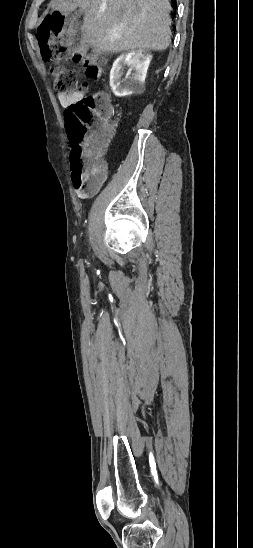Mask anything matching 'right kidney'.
Returning a JSON list of instances; mask_svg holds the SVG:
<instances>
[{
    "instance_id": "ca27d5eb",
    "label": "right kidney",
    "mask_w": 253,
    "mask_h": 548,
    "mask_svg": "<svg viewBox=\"0 0 253 548\" xmlns=\"http://www.w3.org/2000/svg\"><path fill=\"white\" fill-rule=\"evenodd\" d=\"M151 59L152 55L145 50H135L120 55L114 61L110 71V86L113 93L117 97H125L143 91ZM125 67H129L127 80H122Z\"/></svg>"
}]
</instances>
